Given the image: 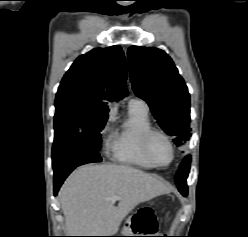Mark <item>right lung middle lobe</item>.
<instances>
[{
  "label": "right lung middle lobe",
  "instance_id": "1",
  "mask_svg": "<svg viewBox=\"0 0 248 237\" xmlns=\"http://www.w3.org/2000/svg\"><path fill=\"white\" fill-rule=\"evenodd\" d=\"M53 147L82 148L99 151L101 130L108 115L86 109L74 103H55Z\"/></svg>",
  "mask_w": 248,
  "mask_h": 237
}]
</instances>
